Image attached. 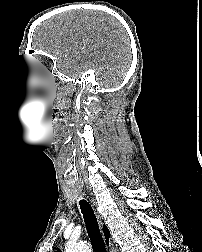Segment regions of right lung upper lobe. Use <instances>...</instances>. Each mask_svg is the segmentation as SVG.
<instances>
[{
  "mask_svg": "<svg viewBox=\"0 0 202 252\" xmlns=\"http://www.w3.org/2000/svg\"><path fill=\"white\" fill-rule=\"evenodd\" d=\"M103 230H104V234H105L106 241L108 242V238H109V231H108V229H107V227H106V226H104Z\"/></svg>",
  "mask_w": 202,
  "mask_h": 252,
  "instance_id": "obj_1",
  "label": "right lung upper lobe"
}]
</instances>
